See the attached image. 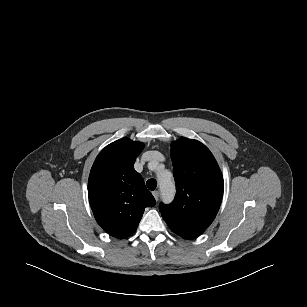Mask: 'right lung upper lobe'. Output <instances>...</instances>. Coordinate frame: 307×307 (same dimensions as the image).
<instances>
[{
  "label": "right lung upper lobe",
  "instance_id": "right-lung-upper-lobe-1",
  "mask_svg": "<svg viewBox=\"0 0 307 307\" xmlns=\"http://www.w3.org/2000/svg\"><path fill=\"white\" fill-rule=\"evenodd\" d=\"M144 144L129 138L106 146L97 156L88 180L89 202L98 224L111 236L132 235L146 207L156 201L133 168Z\"/></svg>",
  "mask_w": 307,
  "mask_h": 307
}]
</instances>
